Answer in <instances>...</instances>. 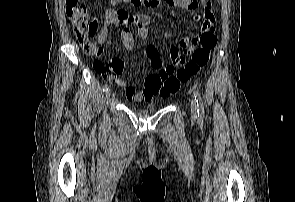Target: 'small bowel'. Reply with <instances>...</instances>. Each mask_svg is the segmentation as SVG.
Listing matches in <instances>:
<instances>
[{
    "label": "small bowel",
    "mask_w": 295,
    "mask_h": 202,
    "mask_svg": "<svg viewBox=\"0 0 295 202\" xmlns=\"http://www.w3.org/2000/svg\"><path fill=\"white\" fill-rule=\"evenodd\" d=\"M175 5L179 8L186 9L189 11H196L199 7L202 8V15H196L194 20L197 21L200 18L202 19L203 27L213 24L215 17L212 9L211 0H173ZM120 10L115 8H109L105 14V24L99 30V44L96 45L94 43H90L87 45H83V48L86 52L90 54H95L101 56L103 54L104 48L103 44H110V40L108 37V27L112 24H121L123 25V29L121 31V41L124 47L128 50L133 49L134 47V38L129 29L128 25L130 24L127 20H123L119 16ZM124 13L129 17L133 16L136 18V27L137 33L141 40H147L149 37V23L150 16L147 14H138L132 15L127 11ZM181 50L185 52H191L193 50V45H189L187 41L182 40L179 45H172L168 48V55L170 59V64H175L179 58L181 57ZM145 54L149 58L152 69L156 71H162L167 68V66L163 67V60L160 54V50L158 47L154 45H148L145 48ZM111 63H95V70L105 78L114 82L123 88L126 91L128 99L134 102H142V101H150L154 96V92L151 90H135L132 86H130L126 81L117 77V75H122L124 72V63H121V59H111ZM103 68V69H102Z\"/></svg>",
    "instance_id": "c3829d8e"
}]
</instances>
